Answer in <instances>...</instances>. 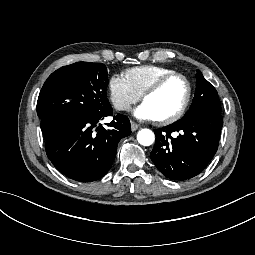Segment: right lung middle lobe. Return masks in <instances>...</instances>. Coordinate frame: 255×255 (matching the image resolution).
Instances as JSON below:
<instances>
[{"label":"right lung middle lobe","mask_w":255,"mask_h":255,"mask_svg":"<svg viewBox=\"0 0 255 255\" xmlns=\"http://www.w3.org/2000/svg\"><path fill=\"white\" fill-rule=\"evenodd\" d=\"M107 68L102 63L77 62L54 71L37 101L43 134L54 124L113 114L107 99Z\"/></svg>","instance_id":"dd1d6c3e"}]
</instances>
